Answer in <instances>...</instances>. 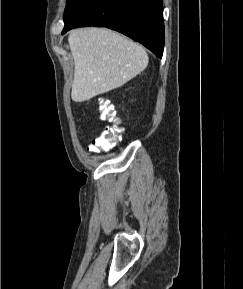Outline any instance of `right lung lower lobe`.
Segmentation results:
<instances>
[{
	"mask_svg": "<svg viewBox=\"0 0 243 289\" xmlns=\"http://www.w3.org/2000/svg\"><path fill=\"white\" fill-rule=\"evenodd\" d=\"M64 23L63 33L78 26H103L142 43L159 58L163 54L162 0H81Z\"/></svg>",
	"mask_w": 243,
	"mask_h": 289,
	"instance_id": "98d812e1",
	"label": "right lung lower lobe"
}]
</instances>
